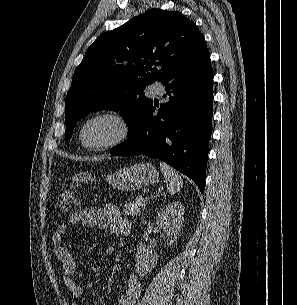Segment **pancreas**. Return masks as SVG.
Here are the masks:
<instances>
[{"label":"pancreas","mask_w":297,"mask_h":305,"mask_svg":"<svg viewBox=\"0 0 297 305\" xmlns=\"http://www.w3.org/2000/svg\"><path fill=\"white\" fill-rule=\"evenodd\" d=\"M139 198H140V196L136 197L135 201L124 204L123 213L125 215L135 216L138 214L140 207L145 204V202H141V204H138Z\"/></svg>","instance_id":"1"}]
</instances>
